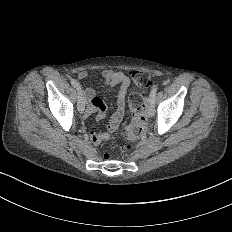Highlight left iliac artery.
Masks as SVG:
<instances>
[{"instance_id": "1", "label": "left iliac artery", "mask_w": 232, "mask_h": 232, "mask_svg": "<svg viewBox=\"0 0 232 232\" xmlns=\"http://www.w3.org/2000/svg\"><path fill=\"white\" fill-rule=\"evenodd\" d=\"M157 90H158V86H157V85H154V86L152 87L151 92H150V99H154V98H155V95H156Z\"/></svg>"}]
</instances>
